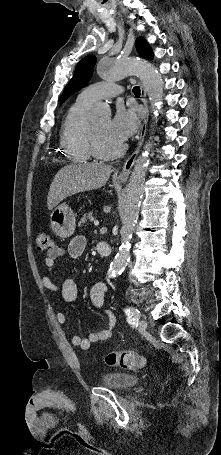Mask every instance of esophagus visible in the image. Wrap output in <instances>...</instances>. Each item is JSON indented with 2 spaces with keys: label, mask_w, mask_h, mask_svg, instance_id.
I'll return each instance as SVG.
<instances>
[{
  "label": "esophagus",
  "mask_w": 221,
  "mask_h": 455,
  "mask_svg": "<svg viewBox=\"0 0 221 455\" xmlns=\"http://www.w3.org/2000/svg\"><path fill=\"white\" fill-rule=\"evenodd\" d=\"M139 84H140V88H141L142 102H143L144 109H145V117H144V121H143L141 130H140V138H139L138 147L134 151V153L126 160V162L123 165L122 171L116 176V181H118V182H125L128 179V177L130 175V172H131V169H132V167H133V165L135 163L137 155H138V153L140 151V148L142 146V143L144 141V137H145V133H146L147 123H148V116H149V109H148V102H147V99H146L145 89H144V87H143L141 82H139Z\"/></svg>",
  "instance_id": "obj_1"
}]
</instances>
